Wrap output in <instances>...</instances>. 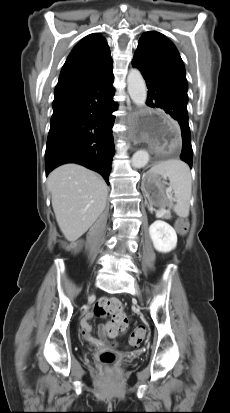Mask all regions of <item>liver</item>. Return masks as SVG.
Listing matches in <instances>:
<instances>
[{
	"label": "liver",
	"instance_id": "1",
	"mask_svg": "<svg viewBox=\"0 0 230 413\" xmlns=\"http://www.w3.org/2000/svg\"><path fill=\"white\" fill-rule=\"evenodd\" d=\"M47 186L59 228L70 242L80 238L105 209V181L78 164H65L53 170Z\"/></svg>",
	"mask_w": 230,
	"mask_h": 413
}]
</instances>
